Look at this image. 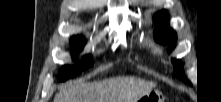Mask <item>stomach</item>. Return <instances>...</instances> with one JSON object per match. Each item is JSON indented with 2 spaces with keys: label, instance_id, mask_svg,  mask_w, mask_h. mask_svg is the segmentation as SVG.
Returning a JSON list of instances; mask_svg holds the SVG:
<instances>
[{
  "label": "stomach",
  "instance_id": "0dacf381",
  "mask_svg": "<svg viewBox=\"0 0 221 102\" xmlns=\"http://www.w3.org/2000/svg\"><path fill=\"white\" fill-rule=\"evenodd\" d=\"M137 102H164V97L162 92L154 89L140 97Z\"/></svg>",
  "mask_w": 221,
  "mask_h": 102
}]
</instances>
